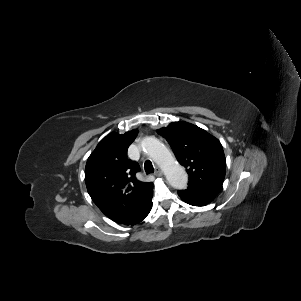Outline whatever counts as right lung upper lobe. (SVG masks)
Listing matches in <instances>:
<instances>
[{
    "instance_id": "1",
    "label": "right lung upper lobe",
    "mask_w": 301,
    "mask_h": 301,
    "mask_svg": "<svg viewBox=\"0 0 301 301\" xmlns=\"http://www.w3.org/2000/svg\"><path fill=\"white\" fill-rule=\"evenodd\" d=\"M137 133L109 134L99 142L85 167V182L93 202L107 217L122 224L140 212L153 192V183L135 179L138 164L127 160L128 147Z\"/></svg>"
}]
</instances>
